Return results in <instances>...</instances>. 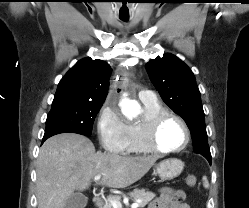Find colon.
Returning a JSON list of instances; mask_svg holds the SVG:
<instances>
[{
    "label": "colon",
    "instance_id": "5ec220e1",
    "mask_svg": "<svg viewBox=\"0 0 249 208\" xmlns=\"http://www.w3.org/2000/svg\"><path fill=\"white\" fill-rule=\"evenodd\" d=\"M196 182H197V180H196L195 176H193V175L187 176L186 183H187L188 186L193 187V186L196 185Z\"/></svg>",
    "mask_w": 249,
    "mask_h": 208
}]
</instances>
